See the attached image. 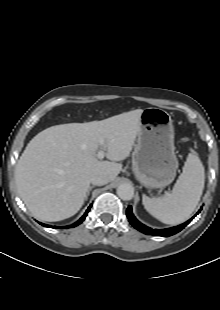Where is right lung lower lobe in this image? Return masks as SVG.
Instances as JSON below:
<instances>
[{"mask_svg":"<svg viewBox=\"0 0 220 310\" xmlns=\"http://www.w3.org/2000/svg\"><path fill=\"white\" fill-rule=\"evenodd\" d=\"M91 206H92V205H90V206L88 207V209L86 210L85 214H84L77 222H75L74 224H72V225H70V226H66V228H68V227H76V226H78L80 223H82V222L84 221V219L86 218V216H87V214H88V212H89ZM40 224H41L42 226H45V227H54V226L46 225V224H43V223H40ZM56 228H57V227H56Z\"/></svg>","mask_w":220,"mask_h":310,"instance_id":"obj_1","label":"right lung lower lobe"}]
</instances>
